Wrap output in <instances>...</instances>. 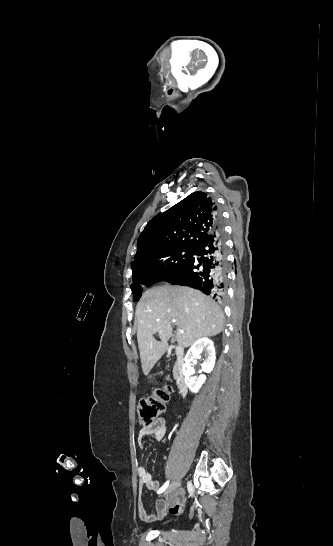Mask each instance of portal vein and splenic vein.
I'll return each instance as SVG.
<instances>
[{
	"instance_id": "obj_1",
	"label": "portal vein and splenic vein",
	"mask_w": 333,
	"mask_h": 546,
	"mask_svg": "<svg viewBox=\"0 0 333 546\" xmlns=\"http://www.w3.org/2000/svg\"><path fill=\"white\" fill-rule=\"evenodd\" d=\"M172 323H176V320L173 319V320H172ZM179 333L183 334V333H184V330H181V329H180V330H179Z\"/></svg>"
}]
</instances>
